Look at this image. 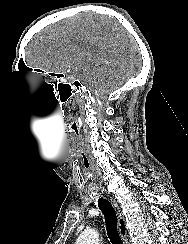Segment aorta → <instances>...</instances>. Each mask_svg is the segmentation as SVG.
I'll list each match as a JSON object with an SVG mask.
<instances>
[{"label": "aorta", "mask_w": 188, "mask_h": 244, "mask_svg": "<svg viewBox=\"0 0 188 244\" xmlns=\"http://www.w3.org/2000/svg\"><path fill=\"white\" fill-rule=\"evenodd\" d=\"M99 234L93 229L83 231L78 237L76 244H98Z\"/></svg>", "instance_id": "obj_1"}]
</instances>
